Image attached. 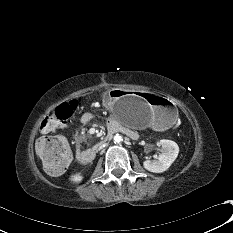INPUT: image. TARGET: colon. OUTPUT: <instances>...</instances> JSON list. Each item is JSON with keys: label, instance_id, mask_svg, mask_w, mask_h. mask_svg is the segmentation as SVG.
Returning a JSON list of instances; mask_svg holds the SVG:
<instances>
[{"label": "colon", "instance_id": "5ec220e1", "mask_svg": "<svg viewBox=\"0 0 233 233\" xmlns=\"http://www.w3.org/2000/svg\"><path fill=\"white\" fill-rule=\"evenodd\" d=\"M78 106L77 100L63 103L46 116L41 123V130L47 135L38 140L36 151L44 169L51 175L62 173L69 165L72 157L68 141L62 136L52 134L66 125Z\"/></svg>", "mask_w": 233, "mask_h": 233}]
</instances>
